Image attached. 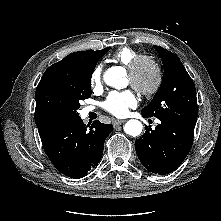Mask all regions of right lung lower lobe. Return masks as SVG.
Masks as SVG:
<instances>
[{
    "label": "right lung lower lobe",
    "mask_w": 221,
    "mask_h": 221,
    "mask_svg": "<svg viewBox=\"0 0 221 221\" xmlns=\"http://www.w3.org/2000/svg\"><path fill=\"white\" fill-rule=\"evenodd\" d=\"M111 124L98 120L85 125L80 117L38 129L42 145L55 168L71 178L85 177L100 161Z\"/></svg>",
    "instance_id": "right-lung-lower-lobe-1"
}]
</instances>
